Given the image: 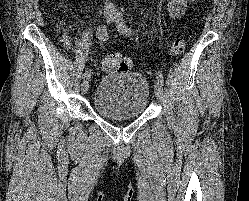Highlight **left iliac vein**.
<instances>
[{"label": "left iliac vein", "mask_w": 249, "mask_h": 201, "mask_svg": "<svg viewBox=\"0 0 249 201\" xmlns=\"http://www.w3.org/2000/svg\"><path fill=\"white\" fill-rule=\"evenodd\" d=\"M114 22L116 23L117 28H119L122 25L123 18H122V15L119 12H115ZM154 93H155V96L158 99L162 98L163 84L158 80H156L155 83H154Z\"/></svg>", "instance_id": "left-iliac-vein-1"}]
</instances>
